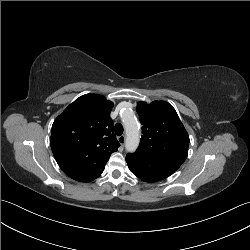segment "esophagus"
<instances>
[{"mask_svg":"<svg viewBox=\"0 0 250 250\" xmlns=\"http://www.w3.org/2000/svg\"><path fill=\"white\" fill-rule=\"evenodd\" d=\"M125 140H126L125 135H121L118 137V141L122 146L125 144Z\"/></svg>","mask_w":250,"mask_h":250,"instance_id":"esophagus-1","label":"esophagus"}]
</instances>
